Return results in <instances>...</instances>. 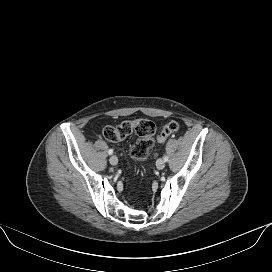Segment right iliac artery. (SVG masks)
<instances>
[{
    "label": "right iliac artery",
    "mask_w": 272,
    "mask_h": 272,
    "mask_svg": "<svg viewBox=\"0 0 272 272\" xmlns=\"http://www.w3.org/2000/svg\"><path fill=\"white\" fill-rule=\"evenodd\" d=\"M108 154L112 155L113 154V150L112 149L108 150Z\"/></svg>",
    "instance_id": "right-iliac-artery-1"
}]
</instances>
